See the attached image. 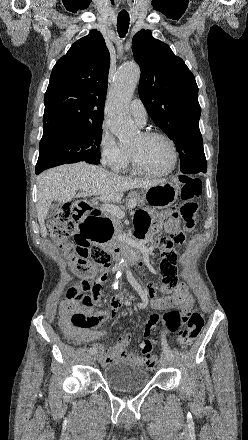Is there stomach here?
Segmentation results:
<instances>
[{"label":"stomach","mask_w":248,"mask_h":440,"mask_svg":"<svg viewBox=\"0 0 248 440\" xmlns=\"http://www.w3.org/2000/svg\"><path fill=\"white\" fill-rule=\"evenodd\" d=\"M178 198L177 188L169 182H161L145 189L144 199L158 209L167 208ZM108 209H95L87 223L81 220L75 229V241H98L99 246H114L115 218H108ZM91 227V228H90Z\"/></svg>","instance_id":"0dacf381"}]
</instances>
